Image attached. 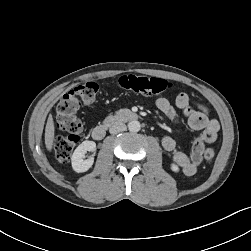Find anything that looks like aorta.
<instances>
[{"label": "aorta", "instance_id": "aorta-1", "mask_svg": "<svg viewBox=\"0 0 251 251\" xmlns=\"http://www.w3.org/2000/svg\"><path fill=\"white\" fill-rule=\"evenodd\" d=\"M141 129L140 122L137 120H132L128 123V130L130 132H138Z\"/></svg>", "mask_w": 251, "mask_h": 251}]
</instances>
